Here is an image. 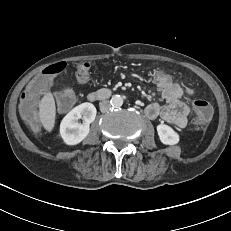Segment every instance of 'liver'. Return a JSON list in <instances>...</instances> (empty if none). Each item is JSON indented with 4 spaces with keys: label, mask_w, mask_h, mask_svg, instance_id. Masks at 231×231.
Listing matches in <instances>:
<instances>
[{
    "label": "liver",
    "mask_w": 231,
    "mask_h": 231,
    "mask_svg": "<svg viewBox=\"0 0 231 231\" xmlns=\"http://www.w3.org/2000/svg\"><path fill=\"white\" fill-rule=\"evenodd\" d=\"M56 106L51 92H46L39 102V120L45 130L51 132L55 126Z\"/></svg>",
    "instance_id": "obj_1"
}]
</instances>
